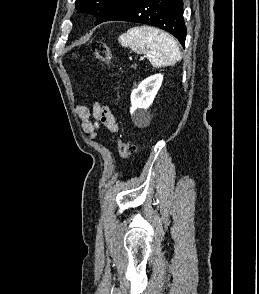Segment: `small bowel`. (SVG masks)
Returning a JSON list of instances; mask_svg holds the SVG:
<instances>
[{
  "label": "small bowel",
  "instance_id": "obj_1",
  "mask_svg": "<svg viewBox=\"0 0 259 294\" xmlns=\"http://www.w3.org/2000/svg\"><path fill=\"white\" fill-rule=\"evenodd\" d=\"M75 113L81 121L82 130L90 139L96 138L101 125L106 126L112 132L118 131V125L111 110L98 101L93 103L91 109L85 105H77Z\"/></svg>",
  "mask_w": 259,
  "mask_h": 294
}]
</instances>
